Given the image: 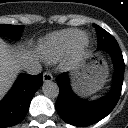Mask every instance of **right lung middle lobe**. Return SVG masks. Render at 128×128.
<instances>
[{"mask_svg":"<svg viewBox=\"0 0 128 128\" xmlns=\"http://www.w3.org/2000/svg\"><path fill=\"white\" fill-rule=\"evenodd\" d=\"M23 26L16 25H0V34L9 35L11 37H18L21 35Z\"/></svg>","mask_w":128,"mask_h":128,"instance_id":"dd1d6c3e","label":"right lung middle lobe"}]
</instances>
